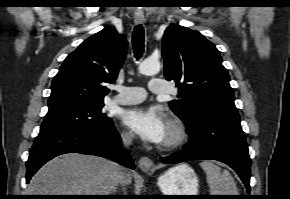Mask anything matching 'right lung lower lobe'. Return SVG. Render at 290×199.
<instances>
[{"label":"right lung lower lobe","instance_id":"obj_1","mask_svg":"<svg viewBox=\"0 0 290 199\" xmlns=\"http://www.w3.org/2000/svg\"><path fill=\"white\" fill-rule=\"evenodd\" d=\"M120 135L112 121L102 126L40 131L26 162V180L52 158L65 153L96 155L134 169L127 150H122Z\"/></svg>","mask_w":290,"mask_h":199}]
</instances>
